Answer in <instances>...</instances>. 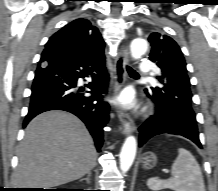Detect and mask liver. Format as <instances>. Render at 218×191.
<instances>
[{"label":"liver","instance_id":"obj_1","mask_svg":"<svg viewBox=\"0 0 218 191\" xmlns=\"http://www.w3.org/2000/svg\"><path fill=\"white\" fill-rule=\"evenodd\" d=\"M96 158L92 137L81 120L67 112L48 111L26 127L15 182L23 188L56 187L88 174Z\"/></svg>","mask_w":218,"mask_h":191}]
</instances>
